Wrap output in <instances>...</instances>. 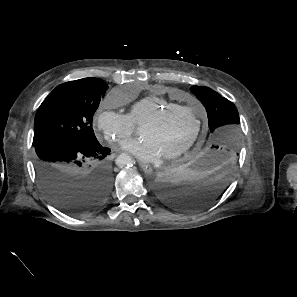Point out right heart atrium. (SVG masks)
I'll return each mask as SVG.
<instances>
[{"label": "right heart atrium", "instance_id": "d8ad5b80", "mask_svg": "<svg viewBox=\"0 0 297 297\" xmlns=\"http://www.w3.org/2000/svg\"><path fill=\"white\" fill-rule=\"evenodd\" d=\"M118 105L119 102L114 95H108L96 113L95 122L106 140L122 144L131 136L133 123L127 114L117 109Z\"/></svg>", "mask_w": 297, "mask_h": 297}]
</instances>
